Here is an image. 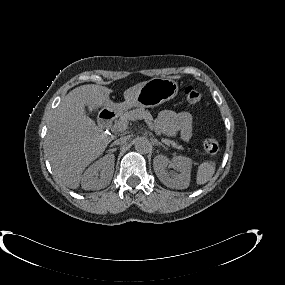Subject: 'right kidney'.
<instances>
[{
    "label": "right kidney",
    "mask_w": 285,
    "mask_h": 285,
    "mask_svg": "<svg viewBox=\"0 0 285 285\" xmlns=\"http://www.w3.org/2000/svg\"><path fill=\"white\" fill-rule=\"evenodd\" d=\"M114 162V155L108 154L92 164L82 177V188L99 190L108 186L114 173Z\"/></svg>",
    "instance_id": "ca27d5eb"
}]
</instances>
